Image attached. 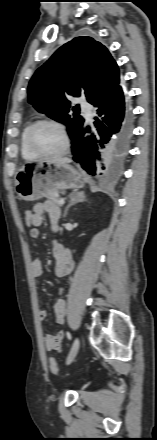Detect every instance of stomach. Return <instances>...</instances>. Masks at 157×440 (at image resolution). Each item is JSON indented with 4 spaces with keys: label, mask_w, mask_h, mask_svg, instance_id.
I'll return each mask as SVG.
<instances>
[{
    "label": "stomach",
    "mask_w": 157,
    "mask_h": 440,
    "mask_svg": "<svg viewBox=\"0 0 157 440\" xmlns=\"http://www.w3.org/2000/svg\"><path fill=\"white\" fill-rule=\"evenodd\" d=\"M85 173L68 163L28 162L15 175V191L25 201H36L60 190L84 186Z\"/></svg>",
    "instance_id": "stomach-1"
}]
</instances>
